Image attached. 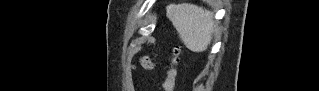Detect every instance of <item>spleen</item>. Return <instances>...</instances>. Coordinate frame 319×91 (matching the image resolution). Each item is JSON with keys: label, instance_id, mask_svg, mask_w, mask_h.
Returning a JSON list of instances; mask_svg holds the SVG:
<instances>
[{"label": "spleen", "instance_id": "obj_1", "mask_svg": "<svg viewBox=\"0 0 319 91\" xmlns=\"http://www.w3.org/2000/svg\"><path fill=\"white\" fill-rule=\"evenodd\" d=\"M166 15L179 33L185 46L193 52H203L211 43L214 31L210 11L190 3L170 4Z\"/></svg>", "mask_w": 319, "mask_h": 91}]
</instances>
